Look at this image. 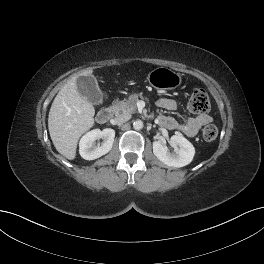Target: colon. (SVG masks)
<instances>
[{"label":"colon","instance_id":"1","mask_svg":"<svg viewBox=\"0 0 264 264\" xmlns=\"http://www.w3.org/2000/svg\"><path fill=\"white\" fill-rule=\"evenodd\" d=\"M188 108L192 113L203 115L207 114L210 110V101L207 93L203 89H195L189 98ZM218 129L215 125H206L202 130V138L206 142H211L216 139Z\"/></svg>","mask_w":264,"mask_h":264}]
</instances>
